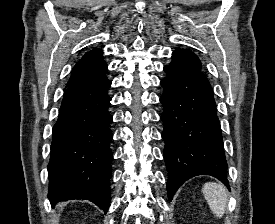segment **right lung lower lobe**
Here are the masks:
<instances>
[{"label": "right lung lower lobe", "mask_w": 275, "mask_h": 224, "mask_svg": "<svg viewBox=\"0 0 275 224\" xmlns=\"http://www.w3.org/2000/svg\"><path fill=\"white\" fill-rule=\"evenodd\" d=\"M111 82L106 76L66 89L53 127L48 164V198L54 206L87 199L105 213L109 208L113 154L108 112Z\"/></svg>", "instance_id": "obj_1"}]
</instances>
